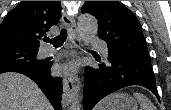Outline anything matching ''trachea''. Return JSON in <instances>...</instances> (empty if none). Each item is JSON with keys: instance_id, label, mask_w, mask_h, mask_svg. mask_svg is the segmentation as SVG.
I'll return each mask as SVG.
<instances>
[{"instance_id": "obj_1", "label": "trachea", "mask_w": 171, "mask_h": 110, "mask_svg": "<svg viewBox=\"0 0 171 110\" xmlns=\"http://www.w3.org/2000/svg\"><path fill=\"white\" fill-rule=\"evenodd\" d=\"M67 38V31L62 29L60 34L52 39L45 37L43 40L51 43L55 48L61 47Z\"/></svg>"}]
</instances>
